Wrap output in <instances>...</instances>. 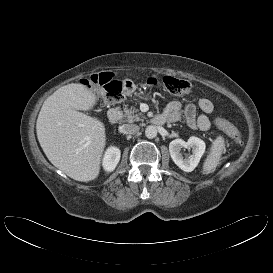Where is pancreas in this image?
Instances as JSON below:
<instances>
[{
	"mask_svg": "<svg viewBox=\"0 0 273 273\" xmlns=\"http://www.w3.org/2000/svg\"><path fill=\"white\" fill-rule=\"evenodd\" d=\"M136 113V114H135ZM124 119L126 122H137V121H142L144 119V116L142 113H137V110L134 108H128L125 106L124 108Z\"/></svg>",
	"mask_w": 273,
	"mask_h": 273,
	"instance_id": "pancreas-1",
	"label": "pancreas"
}]
</instances>
